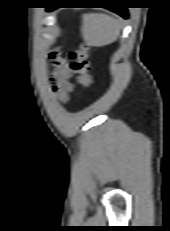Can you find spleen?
<instances>
[{"instance_id": "1", "label": "spleen", "mask_w": 170, "mask_h": 231, "mask_svg": "<svg viewBox=\"0 0 170 231\" xmlns=\"http://www.w3.org/2000/svg\"><path fill=\"white\" fill-rule=\"evenodd\" d=\"M120 30V22L106 14L91 13L83 17L81 32L84 41L90 46L102 47L112 43Z\"/></svg>"}]
</instances>
